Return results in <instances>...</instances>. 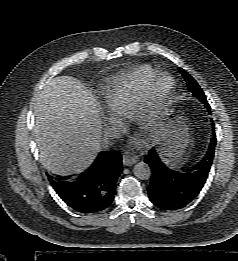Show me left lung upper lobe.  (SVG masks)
<instances>
[{
    "label": "left lung upper lobe",
    "instance_id": "5c2ea615",
    "mask_svg": "<svg viewBox=\"0 0 238 261\" xmlns=\"http://www.w3.org/2000/svg\"><path fill=\"white\" fill-rule=\"evenodd\" d=\"M179 70H180V73L183 75L184 79L187 82L188 90L193 94L194 97L198 98L203 103H206L207 102L206 97L204 95V92L202 91V89L198 85V83L185 70H183L182 68H179Z\"/></svg>",
    "mask_w": 238,
    "mask_h": 261
}]
</instances>
